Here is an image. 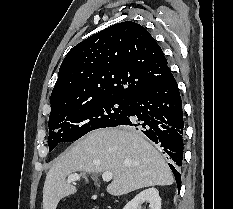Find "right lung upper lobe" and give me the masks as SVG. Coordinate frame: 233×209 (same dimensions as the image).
Returning <instances> with one entry per match:
<instances>
[{
    "label": "right lung upper lobe",
    "instance_id": "right-lung-upper-lobe-1",
    "mask_svg": "<svg viewBox=\"0 0 233 209\" xmlns=\"http://www.w3.org/2000/svg\"><path fill=\"white\" fill-rule=\"evenodd\" d=\"M170 73L161 47L143 26L132 21L114 24L66 55L50 97L51 113L102 99L130 101Z\"/></svg>",
    "mask_w": 233,
    "mask_h": 209
}]
</instances>
